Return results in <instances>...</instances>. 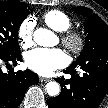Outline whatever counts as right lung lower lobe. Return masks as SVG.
I'll return each mask as SVG.
<instances>
[{
  "label": "right lung lower lobe",
  "instance_id": "1",
  "mask_svg": "<svg viewBox=\"0 0 108 108\" xmlns=\"http://www.w3.org/2000/svg\"><path fill=\"white\" fill-rule=\"evenodd\" d=\"M22 60L21 53L12 56H0V108H17L22 102L25 92L30 85L38 83L37 74L30 70L3 73L2 63L17 64Z\"/></svg>",
  "mask_w": 108,
  "mask_h": 108
}]
</instances>
